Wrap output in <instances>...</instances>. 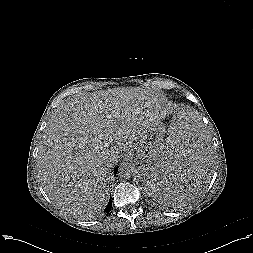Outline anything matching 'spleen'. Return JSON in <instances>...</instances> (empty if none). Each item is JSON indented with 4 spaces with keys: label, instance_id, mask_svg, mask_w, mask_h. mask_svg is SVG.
Returning a JSON list of instances; mask_svg holds the SVG:
<instances>
[{
    "label": "spleen",
    "instance_id": "obj_1",
    "mask_svg": "<svg viewBox=\"0 0 253 253\" xmlns=\"http://www.w3.org/2000/svg\"><path fill=\"white\" fill-rule=\"evenodd\" d=\"M213 169L206 122L198 112L186 109L171 118L168 134L150 154L139 183L156 202L176 205L203 191Z\"/></svg>",
    "mask_w": 253,
    "mask_h": 253
}]
</instances>
